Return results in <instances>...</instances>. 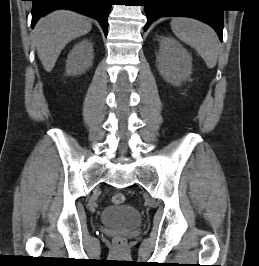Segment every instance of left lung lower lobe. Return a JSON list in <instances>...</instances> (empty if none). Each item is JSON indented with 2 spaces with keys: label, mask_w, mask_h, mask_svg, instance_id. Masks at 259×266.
I'll list each match as a JSON object with an SVG mask.
<instances>
[{
  "label": "left lung lower lobe",
  "mask_w": 259,
  "mask_h": 266,
  "mask_svg": "<svg viewBox=\"0 0 259 266\" xmlns=\"http://www.w3.org/2000/svg\"><path fill=\"white\" fill-rule=\"evenodd\" d=\"M201 0H144L147 23L146 31L152 22L160 17H192L212 26L222 40L223 10L197 4ZM203 2V1H202Z\"/></svg>",
  "instance_id": "obj_1"
}]
</instances>
